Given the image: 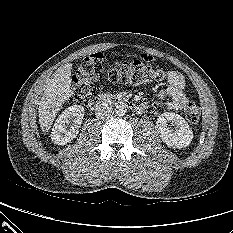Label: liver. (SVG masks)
Here are the masks:
<instances>
[{"instance_id": "6515ba94", "label": "liver", "mask_w": 233, "mask_h": 233, "mask_svg": "<svg viewBox=\"0 0 233 233\" xmlns=\"http://www.w3.org/2000/svg\"><path fill=\"white\" fill-rule=\"evenodd\" d=\"M72 64L57 69L53 79L49 81L39 104V124L46 132L50 129L56 114L70 98Z\"/></svg>"}]
</instances>
